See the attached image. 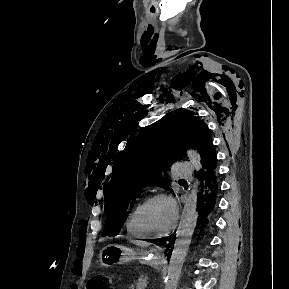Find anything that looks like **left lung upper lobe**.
Instances as JSON below:
<instances>
[{"mask_svg": "<svg viewBox=\"0 0 289 289\" xmlns=\"http://www.w3.org/2000/svg\"><path fill=\"white\" fill-rule=\"evenodd\" d=\"M170 114L132 137L122 152L104 189L106 224L102 236L120 233L144 187L170 185L167 170L186 155L185 146L198 150L202 163L215 148L207 125L194 112L176 110Z\"/></svg>", "mask_w": 289, "mask_h": 289, "instance_id": "1", "label": "left lung upper lobe"}]
</instances>
